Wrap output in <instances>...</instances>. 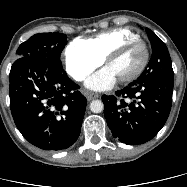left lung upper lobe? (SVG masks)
Segmentation results:
<instances>
[{
    "label": "left lung upper lobe",
    "mask_w": 187,
    "mask_h": 187,
    "mask_svg": "<svg viewBox=\"0 0 187 187\" xmlns=\"http://www.w3.org/2000/svg\"><path fill=\"white\" fill-rule=\"evenodd\" d=\"M152 46L151 59L144 72L131 85L156 79L173 78L171 58L165 43L150 29L146 28Z\"/></svg>",
    "instance_id": "left-lung-upper-lobe-1"
}]
</instances>
